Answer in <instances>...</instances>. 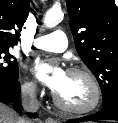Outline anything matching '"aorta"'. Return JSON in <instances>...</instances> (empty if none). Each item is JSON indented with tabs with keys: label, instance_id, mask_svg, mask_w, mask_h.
<instances>
[{
	"label": "aorta",
	"instance_id": "1",
	"mask_svg": "<svg viewBox=\"0 0 118 123\" xmlns=\"http://www.w3.org/2000/svg\"><path fill=\"white\" fill-rule=\"evenodd\" d=\"M63 19V12L60 8H51L44 17V25L47 28L56 26Z\"/></svg>",
	"mask_w": 118,
	"mask_h": 123
}]
</instances>
